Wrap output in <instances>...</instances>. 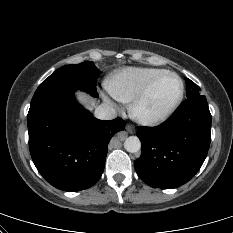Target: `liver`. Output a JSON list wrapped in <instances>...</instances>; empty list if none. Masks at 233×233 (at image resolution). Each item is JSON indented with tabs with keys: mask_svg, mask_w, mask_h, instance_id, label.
I'll return each instance as SVG.
<instances>
[{
	"mask_svg": "<svg viewBox=\"0 0 233 233\" xmlns=\"http://www.w3.org/2000/svg\"><path fill=\"white\" fill-rule=\"evenodd\" d=\"M77 94H78L79 99H80L81 102H83V103H87L88 102V97H87L86 94L81 93V92H78Z\"/></svg>",
	"mask_w": 233,
	"mask_h": 233,
	"instance_id": "obj_1",
	"label": "liver"
}]
</instances>
